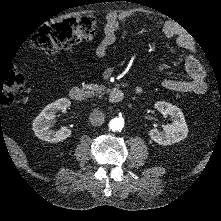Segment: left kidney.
I'll use <instances>...</instances> for the list:
<instances>
[{
	"instance_id": "left-kidney-1",
	"label": "left kidney",
	"mask_w": 221,
	"mask_h": 221,
	"mask_svg": "<svg viewBox=\"0 0 221 221\" xmlns=\"http://www.w3.org/2000/svg\"><path fill=\"white\" fill-rule=\"evenodd\" d=\"M154 107L164 116H170L172 122L164 125L162 131L157 128L151 129L150 138L164 146L184 140L188 135V127L181 109L165 101H157Z\"/></svg>"
}]
</instances>
